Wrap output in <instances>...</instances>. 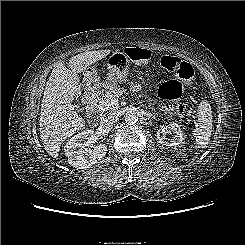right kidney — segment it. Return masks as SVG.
I'll return each instance as SVG.
<instances>
[{"mask_svg": "<svg viewBox=\"0 0 245 245\" xmlns=\"http://www.w3.org/2000/svg\"><path fill=\"white\" fill-rule=\"evenodd\" d=\"M94 132L92 130L82 131L73 136L64 146L68 163L77 169H87L101 160L106 152L107 146L99 144L94 149H87L85 139H92Z\"/></svg>", "mask_w": 245, "mask_h": 245, "instance_id": "right-kidney-1", "label": "right kidney"}]
</instances>
